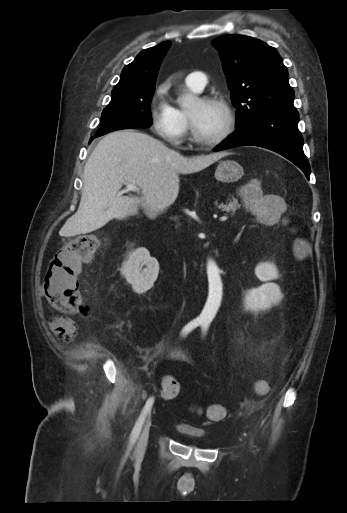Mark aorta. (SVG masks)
<instances>
[{"mask_svg":"<svg viewBox=\"0 0 347 513\" xmlns=\"http://www.w3.org/2000/svg\"><path fill=\"white\" fill-rule=\"evenodd\" d=\"M199 102L200 100L198 97L190 94L184 95L181 98V104L187 110L192 109L198 105ZM207 274L209 281V296L207 303L200 315V319L210 321L214 317L222 297V282L219 269L213 260L208 261Z\"/></svg>","mask_w":347,"mask_h":513,"instance_id":"1","label":"aorta"}]
</instances>
